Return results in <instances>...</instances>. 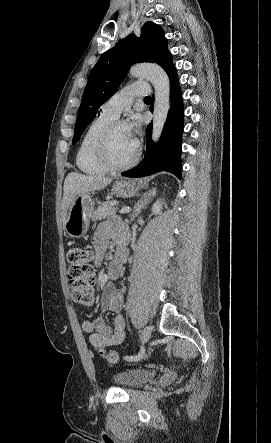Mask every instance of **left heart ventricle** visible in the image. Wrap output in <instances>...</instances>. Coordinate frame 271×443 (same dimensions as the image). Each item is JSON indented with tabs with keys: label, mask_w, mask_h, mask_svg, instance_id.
Returning <instances> with one entry per match:
<instances>
[{
	"label": "left heart ventricle",
	"mask_w": 271,
	"mask_h": 443,
	"mask_svg": "<svg viewBox=\"0 0 271 443\" xmlns=\"http://www.w3.org/2000/svg\"><path fill=\"white\" fill-rule=\"evenodd\" d=\"M138 144L135 142L129 125L118 127L111 140V155L115 162L125 163L130 160L137 151Z\"/></svg>",
	"instance_id": "1"
}]
</instances>
